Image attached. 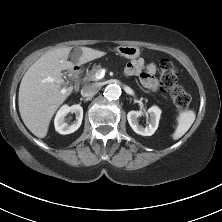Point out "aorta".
Wrapping results in <instances>:
<instances>
[{
  "instance_id": "obj_1",
  "label": "aorta",
  "mask_w": 222,
  "mask_h": 222,
  "mask_svg": "<svg viewBox=\"0 0 222 222\" xmlns=\"http://www.w3.org/2000/svg\"><path fill=\"white\" fill-rule=\"evenodd\" d=\"M121 95V88L116 84H110L104 91V96L108 100H117Z\"/></svg>"
}]
</instances>
